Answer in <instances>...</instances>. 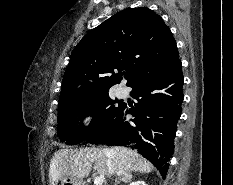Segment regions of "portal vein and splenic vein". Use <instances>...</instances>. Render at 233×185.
<instances>
[{"label":"portal vein and splenic vein","instance_id":"portal-vein-and-splenic-vein-1","mask_svg":"<svg viewBox=\"0 0 233 185\" xmlns=\"http://www.w3.org/2000/svg\"><path fill=\"white\" fill-rule=\"evenodd\" d=\"M105 180V177L100 175L94 179V185H102Z\"/></svg>","mask_w":233,"mask_h":185}]
</instances>
